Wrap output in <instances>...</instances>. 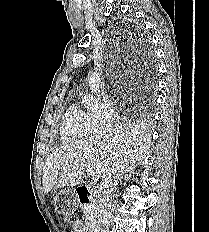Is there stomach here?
Wrapping results in <instances>:
<instances>
[{
  "label": "stomach",
  "mask_w": 209,
  "mask_h": 232,
  "mask_svg": "<svg viewBox=\"0 0 209 232\" xmlns=\"http://www.w3.org/2000/svg\"><path fill=\"white\" fill-rule=\"evenodd\" d=\"M56 204L57 214H64L66 221H77V209L75 206H79L77 191H60L57 197L54 198Z\"/></svg>",
  "instance_id": "obj_1"
}]
</instances>
